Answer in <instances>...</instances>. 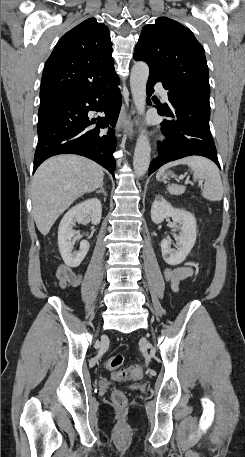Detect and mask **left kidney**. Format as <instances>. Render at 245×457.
<instances>
[{"mask_svg": "<svg viewBox=\"0 0 245 457\" xmlns=\"http://www.w3.org/2000/svg\"><path fill=\"white\" fill-rule=\"evenodd\" d=\"M171 216L174 226L180 231V237H174L176 249H171L172 241H161L162 257L168 265H180L185 261L196 241V218L194 214L182 208H174L162 194H156L151 206V218L159 224Z\"/></svg>", "mask_w": 245, "mask_h": 457, "instance_id": "1", "label": "left kidney"}]
</instances>
